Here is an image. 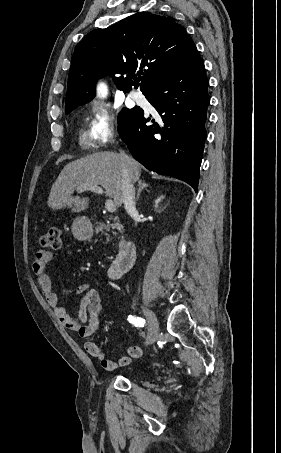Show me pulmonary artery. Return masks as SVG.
<instances>
[{
	"label": "pulmonary artery",
	"instance_id": "pulmonary-artery-1",
	"mask_svg": "<svg viewBox=\"0 0 281 453\" xmlns=\"http://www.w3.org/2000/svg\"><path fill=\"white\" fill-rule=\"evenodd\" d=\"M132 100L136 103L144 105L149 111H154V107L151 102L139 91H134L130 94Z\"/></svg>",
	"mask_w": 281,
	"mask_h": 453
}]
</instances>
